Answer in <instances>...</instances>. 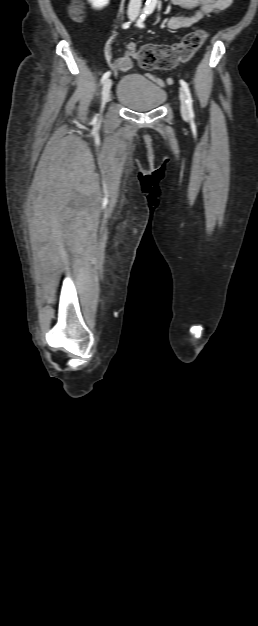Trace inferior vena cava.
<instances>
[{
  "label": "inferior vena cava",
  "instance_id": "obj_1",
  "mask_svg": "<svg viewBox=\"0 0 258 626\" xmlns=\"http://www.w3.org/2000/svg\"><path fill=\"white\" fill-rule=\"evenodd\" d=\"M142 0H130L128 5V15L137 16L141 8Z\"/></svg>",
  "mask_w": 258,
  "mask_h": 626
}]
</instances>
